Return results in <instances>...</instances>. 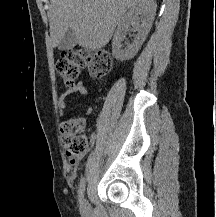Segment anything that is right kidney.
Instances as JSON below:
<instances>
[{"label":"right kidney","mask_w":216,"mask_h":217,"mask_svg":"<svg viewBox=\"0 0 216 217\" xmlns=\"http://www.w3.org/2000/svg\"><path fill=\"white\" fill-rule=\"evenodd\" d=\"M156 8L155 0H140L121 18L112 42V54L116 59L125 61L137 54L151 29ZM131 26L132 31H136L137 35L131 44L123 48L121 42L125 39Z\"/></svg>","instance_id":"1"}]
</instances>
